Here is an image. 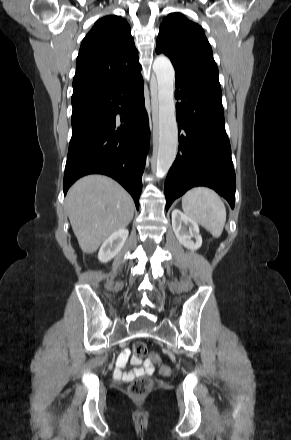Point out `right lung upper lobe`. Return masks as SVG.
I'll use <instances>...</instances> for the list:
<instances>
[{
    "instance_id": "1",
    "label": "right lung upper lobe",
    "mask_w": 291,
    "mask_h": 440,
    "mask_svg": "<svg viewBox=\"0 0 291 440\" xmlns=\"http://www.w3.org/2000/svg\"><path fill=\"white\" fill-rule=\"evenodd\" d=\"M141 69L127 21L117 15L105 16L95 23L81 43L73 93L114 85Z\"/></svg>"
}]
</instances>
